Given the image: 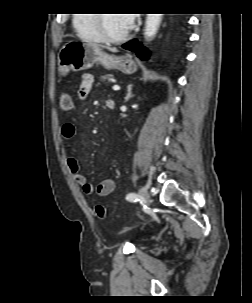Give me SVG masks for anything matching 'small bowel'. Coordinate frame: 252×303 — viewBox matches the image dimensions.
<instances>
[{
	"label": "small bowel",
	"instance_id": "small-bowel-1",
	"mask_svg": "<svg viewBox=\"0 0 252 303\" xmlns=\"http://www.w3.org/2000/svg\"><path fill=\"white\" fill-rule=\"evenodd\" d=\"M94 81L95 78L93 74L84 73L82 75L81 83L78 90V97L80 100H85L88 97L93 87ZM76 130V125L73 119H70L63 123L62 136L67 141L68 146H70L71 140L75 137ZM66 164L74 182L81 186V189L85 195H97L103 197L110 195L115 190L116 183L112 178L102 180L97 186H94L93 184L88 182L86 176L82 174L80 166L75 157L68 156L66 159Z\"/></svg>",
	"mask_w": 252,
	"mask_h": 303
}]
</instances>
